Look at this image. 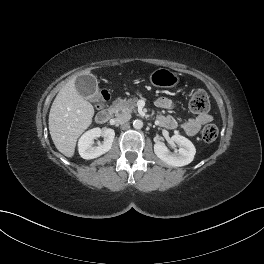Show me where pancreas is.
Returning <instances> with one entry per match:
<instances>
[{"label":"pancreas","mask_w":264,"mask_h":264,"mask_svg":"<svg viewBox=\"0 0 264 264\" xmlns=\"http://www.w3.org/2000/svg\"><path fill=\"white\" fill-rule=\"evenodd\" d=\"M112 107L116 116L121 114H131L136 112V99L130 98L128 100H122L118 98L113 102Z\"/></svg>","instance_id":"pancreas-1"}]
</instances>
